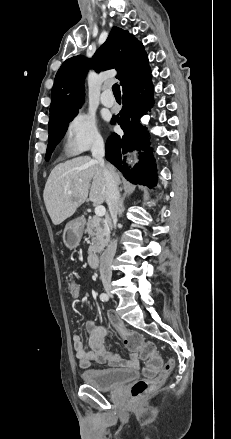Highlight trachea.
<instances>
[{"instance_id":"3493384b","label":"trachea","mask_w":231,"mask_h":439,"mask_svg":"<svg viewBox=\"0 0 231 439\" xmlns=\"http://www.w3.org/2000/svg\"><path fill=\"white\" fill-rule=\"evenodd\" d=\"M112 90L115 97H121L120 86L118 84H114Z\"/></svg>"}]
</instances>
